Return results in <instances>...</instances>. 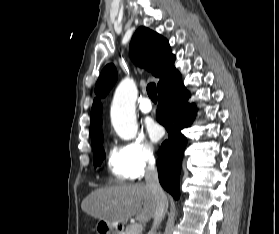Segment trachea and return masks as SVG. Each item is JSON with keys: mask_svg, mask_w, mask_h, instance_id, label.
I'll use <instances>...</instances> for the list:
<instances>
[{"mask_svg": "<svg viewBox=\"0 0 279 234\" xmlns=\"http://www.w3.org/2000/svg\"><path fill=\"white\" fill-rule=\"evenodd\" d=\"M147 94H148L149 98L153 102H157L156 85L154 83L148 84V86H147Z\"/></svg>", "mask_w": 279, "mask_h": 234, "instance_id": "1", "label": "trachea"}]
</instances>
